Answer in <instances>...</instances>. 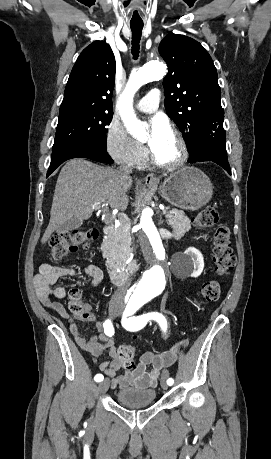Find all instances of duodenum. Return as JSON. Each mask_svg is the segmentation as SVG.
<instances>
[{
  "instance_id": "410a0bca",
  "label": "duodenum",
  "mask_w": 271,
  "mask_h": 459,
  "mask_svg": "<svg viewBox=\"0 0 271 459\" xmlns=\"http://www.w3.org/2000/svg\"><path fill=\"white\" fill-rule=\"evenodd\" d=\"M114 231V223L111 220L106 221L103 232L107 235L111 234ZM138 269V264L133 262L127 271H112L111 273V282L114 285L121 286L124 285L129 277L136 272Z\"/></svg>"
}]
</instances>
